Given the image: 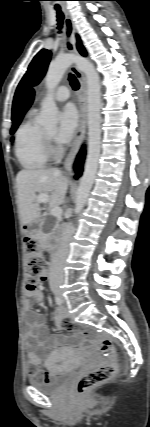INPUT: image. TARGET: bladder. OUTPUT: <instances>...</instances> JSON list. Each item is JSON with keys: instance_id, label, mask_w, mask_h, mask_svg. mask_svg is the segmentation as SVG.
<instances>
[{"instance_id": "obj_1", "label": "bladder", "mask_w": 150, "mask_h": 427, "mask_svg": "<svg viewBox=\"0 0 150 427\" xmlns=\"http://www.w3.org/2000/svg\"><path fill=\"white\" fill-rule=\"evenodd\" d=\"M74 372V368L50 369L46 379L31 378L30 384L45 394H57L65 388Z\"/></svg>"}]
</instances>
